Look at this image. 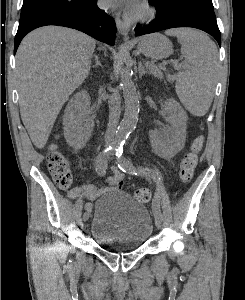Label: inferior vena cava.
I'll return each mask as SVG.
<instances>
[{
	"label": "inferior vena cava",
	"mask_w": 245,
	"mask_h": 300,
	"mask_svg": "<svg viewBox=\"0 0 245 300\" xmlns=\"http://www.w3.org/2000/svg\"><path fill=\"white\" fill-rule=\"evenodd\" d=\"M109 122L105 135L106 146L112 145L116 127L118 125L120 117V95L118 91H113L112 95L109 97Z\"/></svg>",
	"instance_id": "602c4592"
}]
</instances>
